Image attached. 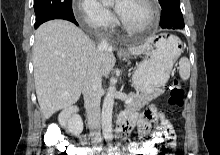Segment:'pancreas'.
<instances>
[{
  "label": "pancreas",
  "instance_id": "cf45deb5",
  "mask_svg": "<svg viewBox=\"0 0 220 155\" xmlns=\"http://www.w3.org/2000/svg\"><path fill=\"white\" fill-rule=\"evenodd\" d=\"M161 93H163V91H160L159 94L155 95H144L141 93L132 94L130 95L132 102L127 104L126 109L131 111H138L143 106L147 105L149 102L158 97Z\"/></svg>",
  "mask_w": 220,
  "mask_h": 155
}]
</instances>
